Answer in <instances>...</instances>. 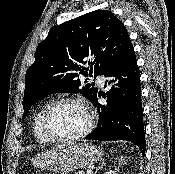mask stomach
I'll use <instances>...</instances> for the list:
<instances>
[{
    "instance_id": "1",
    "label": "stomach",
    "mask_w": 175,
    "mask_h": 174,
    "mask_svg": "<svg viewBox=\"0 0 175 174\" xmlns=\"http://www.w3.org/2000/svg\"><path fill=\"white\" fill-rule=\"evenodd\" d=\"M102 155V151L88 143L67 144L38 154L33 158V162L40 168L68 174L76 169L92 165L101 159Z\"/></svg>"
}]
</instances>
